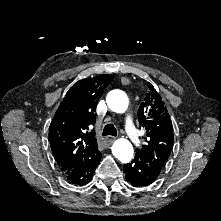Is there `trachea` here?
I'll return each instance as SVG.
<instances>
[{"instance_id": "obj_1", "label": "trachea", "mask_w": 221, "mask_h": 221, "mask_svg": "<svg viewBox=\"0 0 221 221\" xmlns=\"http://www.w3.org/2000/svg\"><path fill=\"white\" fill-rule=\"evenodd\" d=\"M102 135L103 136H107V135L116 136L117 130L113 124H107L103 129Z\"/></svg>"}]
</instances>
